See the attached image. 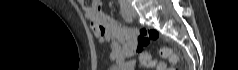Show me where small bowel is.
Returning a JSON list of instances; mask_svg holds the SVG:
<instances>
[{
    "mask_svg": "<svg viewBox=\"0 0 238 70\" xmlns=\"http://www.w3.org/2000/svg\"><path fill=\"white\" fill-rule=\"evenodd\" d=\"M78 3L99 42L110 44L109 57L115 63L114 67L120 70H134L136 61H128V58L141 50L138 45V30L124 26L103 13L100 3L89 4L86 0H78ZM145 57V53L140 55L141 63H144Z\"/></svg>",
    "mask_w": 238,
    "mask_h": 70,
    "instance_id": "c3829d8e",
    "label": "small bowel"
}]
</instances>
